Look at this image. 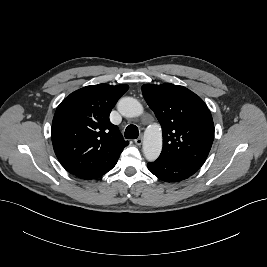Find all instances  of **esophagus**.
Returning a JSON list of instances; mask_svg holds the SVG:
<instances>
[{
	"mask_svg": "<svg viewBox=\"0 0 267 267\" xmlns=\"http://www.w3.org/2000/svg\"><path fill=\"white\" fill-rule=\"evenodd\" d=\"M135 143H136V145H141L142 144V138L139 137V138L135 139Z\"/></svg>",
	"mask_w": 267,
	"mask_h": 267,
	"instance_id": "obj_1",
	"label": "esophagus"
}]
</instances>
